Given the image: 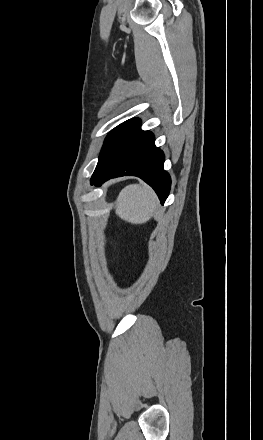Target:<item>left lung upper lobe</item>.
Segmentation results:
<instances>
[{
    "label": "left lung upper lobe",
    "mask_w": 263,
    "mask_h": 440,
    "mask_svg": "<svg viewBox=\"0 0 263 440\" xmlns=\"http://www.w3.org/2000/svg\"><path fill=\"white\" fill-rule=\"evenodd\" d=\"M130 122L131 120H128L118 125L108 134L104 141V145L99 156V161L94 172L102 170L107 164Z\"/></svg>",
    "instance_id": "obj_1"
}]
</instances>
